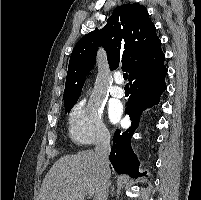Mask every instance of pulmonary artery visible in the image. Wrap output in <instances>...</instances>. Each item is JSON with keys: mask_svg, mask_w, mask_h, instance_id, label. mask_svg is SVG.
Here are the masks:
<instances>
[{"mask_svg": "<svg viewBox=\"0 0 201 200\" xmlns=\"http://www.w3.org/2000/svg\"><path fill=\"white\" fill-rule=\"evenodd\" d=\"M115 82L116 85H114L111 90L110 93L113 97L115 98H122L124 96V90L123 88L120 86L121 82H122V78L120 75H117L115 77Z\"/></svg>", "mask_w": 201, "mask_h": 200, "instance_id": "pulmonary-artery-1", "label": "pulmonary artery"}]
</instances>
